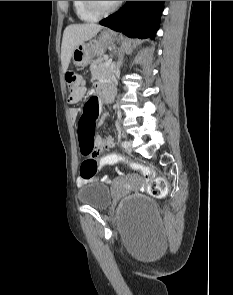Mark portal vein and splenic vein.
Wrapping results in <instances>:
<instances>
[{
	"label": "portal vein and splenic vein",
	"instance_id": "obj_1",
	"mask_svg": "<svg viewBox=\"0 0 233 295\" xmlns=\"http://www.w3.org/2000/svg\"><path fill=\"white\" fill-rule=\"evenodd\" d=\"M111 62H112V59L107 60L105 63V66H109Z\"/></svg>",
	"mask_w": 233,
	"mask_h": 295
}]
</instances>
